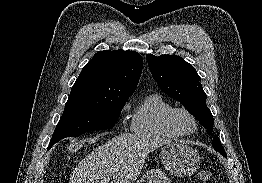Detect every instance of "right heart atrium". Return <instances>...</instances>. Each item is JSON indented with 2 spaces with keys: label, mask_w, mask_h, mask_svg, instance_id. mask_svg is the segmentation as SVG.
<instances>
[{
  "label": "right heart atrium",
  "mask_w": 262,
  "mask_h": 183,
  "mask_svg": "<svg viewBox=\"0 0 262 183\" xmlns=\"http://www.w3.org/2000/svg\"><path fill=\"white\" fill-rule=\"evenodd\" d=\"M125 110H126V107H124L123 111H125Z\"/></svg>",
  "instance_id": "d8ad5b80"
}]
</instances>
